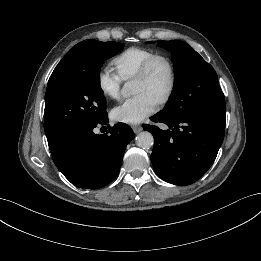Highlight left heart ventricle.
Returning <instances> with one entry per match:
<instances>
[{
  "label": "left heart ventricle",
  "instance_id": "left-heart-ventricle-1",
  "mask_svg": "<svg viewBox=\"0 0 261 261\" xmlns=\"http://www.w3.org/2000/svg\"><path fill=\"white\" fill-rule=\"evenodd\" d=\"M169 84V70L164 62H158L149 79H135L133 93H146L156 101L166 91Z\"/></svg>",
  "mask_w": 261,
  "mask_h": 261
}]
</instances>
